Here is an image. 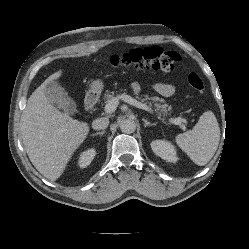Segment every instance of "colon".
Segmentation results:
<instances>
[{
  "mask_svg": "<svg viewBox=\"0 0 249 249\" xmlns=\"http://www.w3.org/2000/svg\"><path fill=\"white\" fill-rule=\"evenodd\" d=\"M180 57L177 52L165 50L158 46L137 48L128 52L113 55L108 60V65L122 69H153L173 71L177 68ZM188 84L196 91H202L204 83L196 73H190L187 77Z\"/></svg>",
  "mask_w": 249,
  "mask_h": 249,
  "instance_id": "5ec220e1",
  "label": "colon"
}]
</instances>
